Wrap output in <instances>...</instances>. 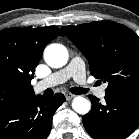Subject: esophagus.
<instances>
[{
    "mask_svg": "<svg viewBox=\"0 0 139 139\" xmlns=\"http://www.w3.org/2000/svg\"><path fill=\"white\" fill-rule=\"evenodd\" d=\"M65 97H66V99L69 101V100H71V99H73L74 97H75V95L74 94H72V93H65Z\"/></svg>",
    "mask_w": 139,
    "mask_h": 139,
    "instance_id": "obj_1",
    "label": "esophagus"
}]
</instances>
